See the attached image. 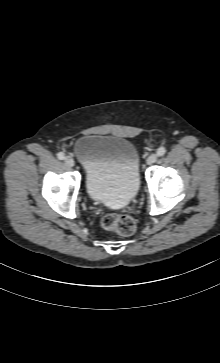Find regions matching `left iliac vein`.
Here are the masks:
<instances>
[{
	"label": "left iliac vein",
	"instance_id": "obj_1",
	"mask_svg": "<svg viewBox=\"0 0 220 363\" xmlns=\"http://www.w3.org/2000/svg\"><path fill=\"white\" fill-rule=\"evenodd\" d=\"M156 160H157V155H156V154H151V155L147 158L146 163H147L148 165H152L153 163H155V162H156Z\"/></svg>",
	"mask_w": 220,
	"mask_h": 363
}]
</instances>
